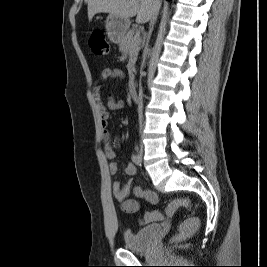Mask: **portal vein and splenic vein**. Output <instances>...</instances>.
<instances>
[{
  "label": "portal vein and splenic vein",
  "instance_id": "1",
  "mask_svg": "<svg viewBox=\"0 0 267 267\" xmlns=\"http://www.w3.org/2000/svg\"><path fill=\"white\" fill-rule=\"evenodd\" d=\"M136 38L141 41L140 37H139V34H136Z\"/></svg>",
  "mask_w": 267,
  "mask_h": 267
}]
</instances>
